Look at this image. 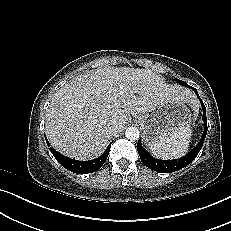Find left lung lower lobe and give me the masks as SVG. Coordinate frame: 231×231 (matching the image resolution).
Returning a JSON list of instances; mask_svg holds the SVG:
<instances>
[{"instance_id": "left-lung-lower-lobe-1", "label": "left lung lower lobe", "mask_w": 231, "mask_h": 231, "mask_svg": "<svg viewBox=\"0 0 231 231\" xmlns=\"http://www.w3.org/2000/svg\"><path fill=\"white\" fill-rule=\"evenodd\" d=\"M186 87L191 88L195 91L197 94V97L199 98L201 102V106L203 109V121H204V132L202 134V137L200 139V142L197 144V146L192 149L187 155H185L182 158L175 159V160H158L153 158L146 149H144L141 145V139H139L137 144V150L140 156L141 161L144 163V165L154 171L162 172V173H171L177 170H180L184 168L185 166L189 165L198 155L199 151L201 150L206 134H207V118H206V108L200 99L197 90L194 87L189 86L185 82L182 84Z\"/></svg>"}]
</instances>
